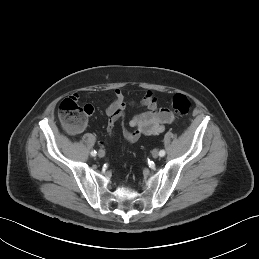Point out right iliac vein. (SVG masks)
Returning a JSON list of instances; mask_svg holds the SVG:
<instances>
[{
    "mask_svg": "<svg viewBox=\"0 0 259 259\" xmlns=\"http://www.w3.org/2000/svg\"><path fill=\"white\" fill-rule=\"evenodd\" d=\"M98 156H99L100 158H103V157L105 156V151H104V150H99V151H98Z\"/></svg>",
    "mask_w": 259,
    "mask_h": 259,
    "instance_id": "obj_1",
    "label": "right iliac vein"
}]
</instances>
